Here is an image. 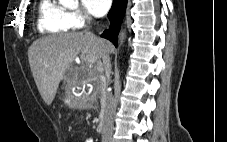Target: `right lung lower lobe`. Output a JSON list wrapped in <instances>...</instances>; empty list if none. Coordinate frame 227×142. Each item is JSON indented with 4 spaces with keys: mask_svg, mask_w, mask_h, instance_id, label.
<instances>
[{
    "mask_svg": "<svg viewBox=\"0 0 227 142\" xmlns=\"http://www.w3.org/2000/svg\"><path fill=\"white\" fill-rule=\"evenodd\" d=\"M127 5V0H114L112 8L108 13V18L111 22L108 30H105L101 37H104L115 46H117V36L120 30V25L125 14V9Z\"/></svg>",
    "mask_w": 227,
    "mask_h": 142,
    "instance_id": "obj_1",
    "label": "right lung lower lobe"
}]
</instances>
